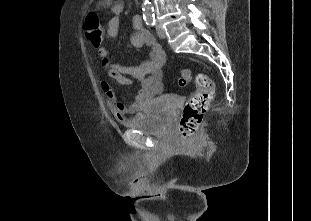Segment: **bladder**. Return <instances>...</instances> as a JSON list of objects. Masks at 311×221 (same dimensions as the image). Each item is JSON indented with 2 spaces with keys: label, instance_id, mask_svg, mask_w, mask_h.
<instances>
[{
  "label": "bladder",
  "instance_id": "31cf9c89",
  "mask_svg": "<svg viewBox=\"0 0 311 221\" xmlns=\"http://www.w3.org/2000/svg\"><path fill=\"white\" fill-rule=\"evenodd\" d=\"M175 98H165L164 95L154 99L152 108L138 113L125 121L124 126L139 130L144 135H161L167 132L172 123L170 117L171 103Z\"/></svg>",
  "mask_w": 311,
  "mask_h": 221
}]
</instances>
